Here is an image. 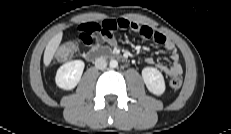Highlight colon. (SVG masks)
Wrapping results in <instances>:
<instances>
[{"mask_svg": "<svg viewBox=\"0 0 231 134\" xmlns=\"http://www.w3.org/2000/svg\"><path fill=\"white\" fill-rule=\"evenodd\" d=\"M74 46L71 44H67L59 48V50L55 54V59L58 62H63L67 60L73 53ZM170 87L172 89H179L182 85V80L179 77H174L170 80Z\"/></svg>", "mask_w": 231, "mask_h": 134, "instance_id": "obj_1", "label": "colon"}]
</instances>
